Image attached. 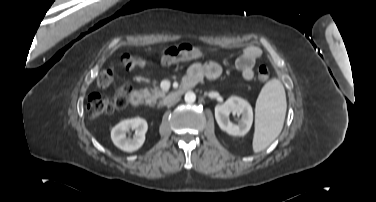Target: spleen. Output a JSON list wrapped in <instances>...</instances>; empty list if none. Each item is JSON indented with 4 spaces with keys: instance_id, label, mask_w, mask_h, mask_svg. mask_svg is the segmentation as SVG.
<instances>
[{
    "instance_id": "1",
    "label": "spleen",
    "mask_w": 376,
    "mask_h": 202,
    "mask_svg": "<svg viewBox=\"0 0 376 202\" xmlns=\"http://www.w3.org/2000/svg\"><path fill=\"white\" fill-rule=\"evenodd\" d=\"M287 109L283 84L278 79L268 81L262 88L255 107L253 150L260 152L280 134Z\"/></svg>"
}]
</instances>
